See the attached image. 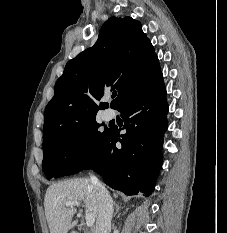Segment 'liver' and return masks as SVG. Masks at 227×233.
<instances>
[{
	"mask_svg": "<svg viewBox=\"0 0 227 233\" xmlns=\"http://www.w3.org/2000/svg\"><path fill=\"white\" fill-rule=\"evenodd\" d=\"M68 201L83 202L87 213L98 217V198L89 178H76L52 184L44 199V208L50 233H68L76 224L72 221L76 208H66Z\"/></svg>",
	"mask_w": 227,
	"mask_h": 233,
	"instance_id": "liver-1",
	"label": "liver"
}]
</instances>
